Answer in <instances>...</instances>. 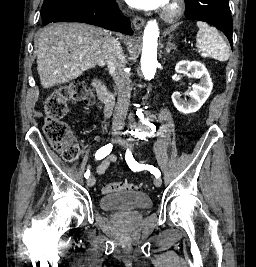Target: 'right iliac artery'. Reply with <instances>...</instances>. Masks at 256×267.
<instances>
[{
	"label": "right iliac artery",
	"mask_w": 256,
	"mask_h": 267,
	"mask_svg": "<svg viewBox=\"0 0 256 267\" xmlns=\"http://www.w3.org/2000/svg\"><path fill=\"white\" fill-rule=\"evenodd\" d=\"M112 147H113L112 144L109 143V144L105 145L104 147L100 148V149L96 152V154H95V158H96L97 160H101V159H103V158L106 157L108 154H110V152L112 151ZM89 176H90V171H86L84 177H85L86 179H88Z\"/></svg>",
	"instance_id": "obj_1"
}]
</instances>
